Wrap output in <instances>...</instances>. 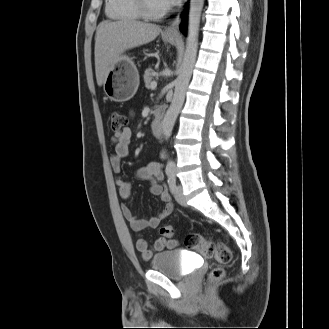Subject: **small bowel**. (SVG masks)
Segmentation results:
<instances>
[{
  "label": "small bowel",
  "instance_id": "small-bowel-1",
  "mask_svg": "<svg viewBox=\"0 0 329 329\" xmlns=\"http://www.w3.org/2000/svg\"><path fill=\"white\" fill-rule=\"evenodd\" d=\"M111 142L114 147V155L111 158V167L115 173H120L121 161L129 153L131 142L130 129L125 128L120 133H114L111 136ZM136 176L142 180L148 181L150 184V192L153 195L159 196L165 203L163 210L149 219L138 218L128 206H121L122 215L128 221L130 228L139 234L135 243L136 249L142 254L144 259H149L154 253L166 249H173L178 245V242L174 239L158 238L153 242L152 246L149 247L147 240L141 235L144 230L157 228L160 223L172 213L174 206L171 196L166 191L162 182L163 171L160 162L153 161L138 167L136 170ZM116 185L119 198L122 200L129 199L132 191L130 181L124 178H117Z\"/></svg>",
  "mask_w": 329,
  "mask_h": 329
}]
</instances>
